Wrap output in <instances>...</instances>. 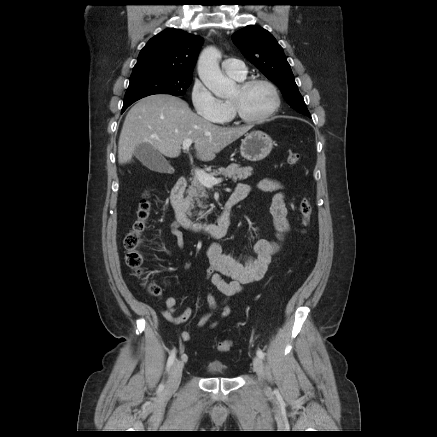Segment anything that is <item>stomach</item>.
Here are the masks:
<instances>
[{
  "label": "stomach",
  "instance_id": "stomach-1",
  "mask_svg": "<svg viewBox=\"0 0 437 437\" xmlns=\"http://www.w3.org/2000/svg\"><path fill=\"white\" fill-rule=\"evenodd\" d=\"M273 148V141L262 131H252L245 135L240 146L241 156L249 161H260L266 158Z\"/></svg>",
  "mask_w": 437,
  "mask_h": 437
}]
</instances>
